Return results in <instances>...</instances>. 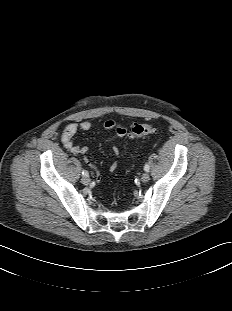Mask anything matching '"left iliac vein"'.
Returning <instances> with one entry per match:
<instances>
[{"label":"left iliac vein","mask_w":232,"mask_h":311,"mask_svg":"<svg viewBox=\"0 0 232 311\" xmlns=\"http://www.w3.org/2000/svg\"><path fill=\"white\" fill-rule=\"evenodd\" d=\"M149 179H150V175H149V173H147V172L144 173V174L141 176V181L144 182V183L148 182Z\"/></svg>","instance_id":"obj_1"}]
</instances>
